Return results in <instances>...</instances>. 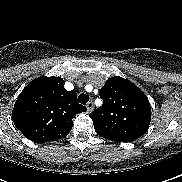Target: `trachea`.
<instances>
[{
	"mask_svg": "<svg viewBox=\"0 0 182 182\" xmlns=\"http://www.w3.org/2000/svg\"><path fill=\"white\" fill-rule=\"evenodd\" d=\"M89 101V96L86 94H80L78 97V102L85 105Z\"/></svg>",
	"mask_w": 182,
	"mask_h": 182,
	"instance_id": "3493384b",
	"label": "trachea"
}]
</instances>
